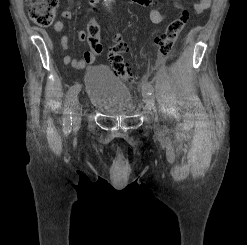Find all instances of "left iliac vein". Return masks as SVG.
Wrapping results in <instances>:
<instances>
[{"label": "left iliac vein", "instance_id": "4c4485c4", "mask_svg": "<svg viewBox=\"0 0 247 245\" xmlns=\"http://www.w3.org/2000/svg\"><path fill=\"white\" fill-rule=\"evenodd\" d=\"M143 98L144 101L147 105V107L150 110H153L154 112L156 111V106H155V101L152 95L147 94L146 92H143ZM155 126L158 128L159 124H158V119L157 117L155 118Z\"/></svg>", "mask_w": 247, "mask_h": 245}]
</instances>
